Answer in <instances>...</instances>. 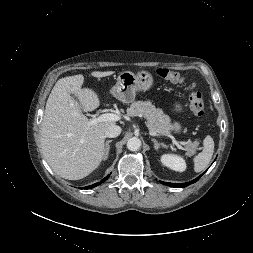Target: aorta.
Here are the masks:
<instances>
[{"instance_id":"obj_1","label":"aorta","mask_w":253,"mask_h":253,"mask_svg":"<svg viewBox=\"0 0 253 253\" xmlns=\"http://www.w3.org/2000/svg\"><path fill=\"white\" fill-rule=\"evenodd\" d=\"M141 147V140L137 137H132L127 141V148L130 151H137Z\"/></svg>"}]
</instances>
